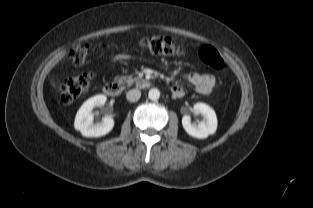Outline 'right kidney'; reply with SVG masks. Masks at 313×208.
Segmentation results:
<instances>
[{"label": "right kidney", "instance_id": "obj_1", "mask_svg": "<svg viewBox=\"0 0 313 208\" xmlns=\"http://www.w3.org/2000/svg\"><path fill=\"white\" fill-rule=\"evenodd\" d=\"M107 97L105 95H96L83 103L78 110L74 127L85 137H101L108 134L114 127V119L106 115L102 122L94 124L92 110L94 107H101L105 104Z\"/></svg>", "mask_w": 313, "mask_h": 208}]
</instances>
